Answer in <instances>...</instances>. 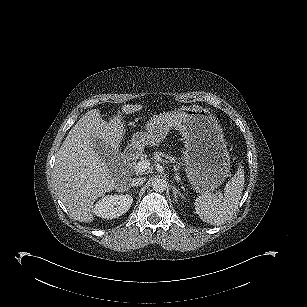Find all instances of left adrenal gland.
<instances>
[{"mask_svg": "<svg viewBox=\"0 0 307 307\" xmlns=\"http://www.w3.org/2000/svg\"><path fill=\"white\" fill-rule=\"evenodd\" d=\"M172 190L176 202L178 201V197H181L183 200L185 199L184 195H182L175 186H172Z\"/></svg>", "mask_w": 307, "mask_h": 307, "instance_id": "1", "label": "left adrenal gland"}]
</instances>
